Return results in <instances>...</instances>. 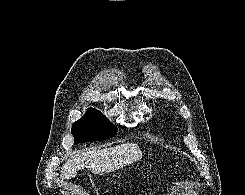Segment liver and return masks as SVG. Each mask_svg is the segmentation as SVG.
Here are the masks:
<instances>
[{
    "instance_id": "6515ba94",
    "label": "liver",
    "mask_w": 245,
    "mask_h": 195,
    "mask_svg": "<svg viewBox=\"0 0 245 195\" xmlns=\"http://www.w3.org/2000/svg\"><path fill=\"white\" fill-rule=\"evenodd\" d=\"M142 157V151L136 143L120 144L81 152L70 156L62 167V179H71L77 171L88 168L94 174H105L123 168Z\"/></svg>"
}]
</instances>
